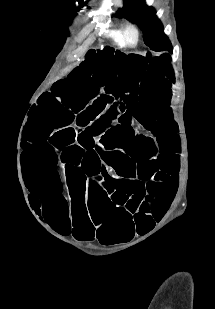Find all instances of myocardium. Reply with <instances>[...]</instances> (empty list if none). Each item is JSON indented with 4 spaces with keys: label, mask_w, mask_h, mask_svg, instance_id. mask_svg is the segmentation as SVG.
I'll return each mask as SVG.
<instances>
[{
    "label": "myocardium",
    "mask_w": 215,
    "mask_h": 309,
    "mask_svg": "<svg viewBox=\"0 0 215 309\" xmlns=\"http://www.w3.org/2000/svg\"><path fill=\"white\" fill-rule=\"evenodd\" d=\"M120 43L123 46L133 48L139 42V30L133 24H125L119 29Z\"/></svg>",
    "instance_id": "f54148a6"
}]
</instances>
